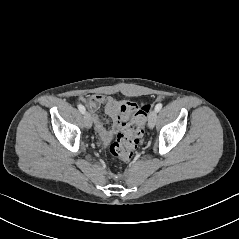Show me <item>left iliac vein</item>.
Returning a JSON list of instances; mask_svg holds the SVG:
<instances>
[{
  "mask_svg": "<svg viewBox=\"0 0 239 239\" xmlns=\"http://www.w3.org/2000/svg\"><path fill=\"white\" fill-rule=\"evenodd\" d=\"M157 120V111L153 110L150 112L149 117H148V126L150 129L154 128Z\"/></svg>",
  "mask_w": 239,
  "mask_h": 239,
  "instance_id": "left-iliac-vein-1",
  "label": "left iliac vein"
}]
</instances>
